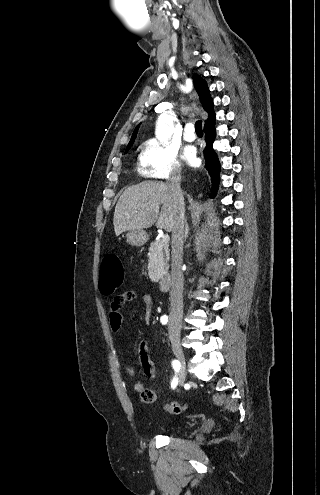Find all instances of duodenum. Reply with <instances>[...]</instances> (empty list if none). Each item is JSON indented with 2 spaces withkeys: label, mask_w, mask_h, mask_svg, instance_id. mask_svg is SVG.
Masks as SVG:
<instances>
[{
  "label": "duodenum",
  "mask_w": 320,
  "mask_h": 495,
  "mask_svg": "<svg viewBox=\"0 0 320 495\" xmlns=\"http://www.w3.org/2000/svg\"><path fill=\"white\" fill-rule=\"evenodd\" d=\"M170 285H171V278L169 275L163 276L159 281V288L163 291L168 290Z\"/></svg>",
  "instance_id": "410a0bca"
}]
</instances>
